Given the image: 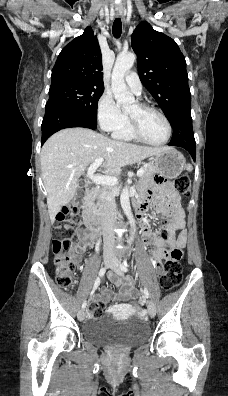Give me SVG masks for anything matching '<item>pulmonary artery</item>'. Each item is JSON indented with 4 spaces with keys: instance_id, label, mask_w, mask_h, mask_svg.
<instances>
[{
    "instance_id": "e3ab8cb5",
    "label": "pulmonary artery",
    "mask_w": 228,
    "mask_h": 396,
    "mask_svg": "<svg viewBox=\"0 0 228 396\" xmlns=\"http://www.w3.org/2000/svg\"><path fill=\"white\" fill-rule=\"evenodd\" d=\"M125 82L128 87L136 94L140 95L142 92V84L139 76L135 72H130L125 76Z\"/></svg>"
}]
</instances>
